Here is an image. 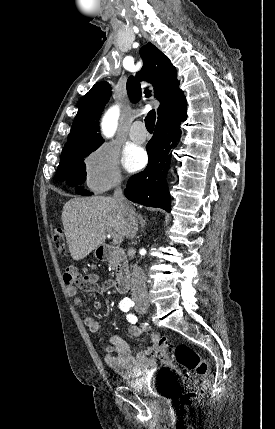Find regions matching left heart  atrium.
Instances as JSON below:
<instances>
[{
    "instance_id": "obj_1",
    "label": "left heart atrium",
    "mask_w": 275,
    "mask_h": 429,
    "mask_svg": "<svg viewBox=\"0 0 275 429\" xmlns=\"http://www.w3.org/2000/svg\"><path fill=\"white\" fill-rule=\"evenodd\" d=\"M146 159L144 150L133 147L125 152L124 163L129 171H136L145 165Z\"/></svg>"
}]
</instances>
